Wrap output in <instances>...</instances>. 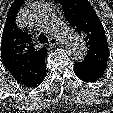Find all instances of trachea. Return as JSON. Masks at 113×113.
<instances>
[{
  "label": "trachea",
  "mask_w": 113,
  "mask_h": 113,
  "mask_svg": "<svg viewBox=\"0 0 113 113\" xmlns=\"http://www.w3.org/2000/svg\"><path fill=\"white\" fill-rule=\"evenodd\" d=\"M38 40H39V42L40 43H48V38L44 35V34H40L39 36H38Z\"/></svg>",
  "instance_id": "obj_1"
}]
</instances>
